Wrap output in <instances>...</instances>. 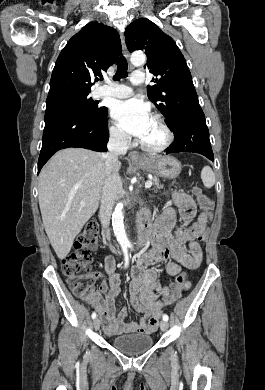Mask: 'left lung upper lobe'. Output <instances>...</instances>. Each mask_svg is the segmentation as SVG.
Segmentation results:
<instances>
[{
	"label": "left lung upper lobe",
	"instance_id": "obj_1",
	"mask_svg": "<svg viewBox=\"0 0 265 390\" xmlns=\"http://www.w3.org/2000/svg\"><path fill=\"white\" fill-rule=\"evenodd\" d=\"M126 45L130 52L144 50L145 70L154 74L153 86L147 87L148 98L167 119L170 129L189 110L200 107L191 73L175 41L156 24L144 18L126 27Z\"/></svg>",
	"mask_w": 265,
	"mask_h": 390
}]
</instances>
